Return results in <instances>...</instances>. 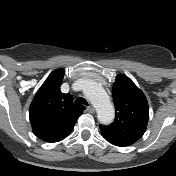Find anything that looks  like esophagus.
Here are the masks:
<instances>
[{
	"mask_svg": "<svg viewBox=\"0 0 176 176\" xmlns=\"http://www.w3.org/2000/svg\"><path fill=\"white\" fill-rule=\"evenodd\" d=\"M89 113H94L95 109L92 106L87 107L86 109Z\"/></svg>",
	"mask_w": 176,
	"mask_h": 176,
	"instance_id": "34e87169",
	"label": "esophagus"
}]
</instances>
